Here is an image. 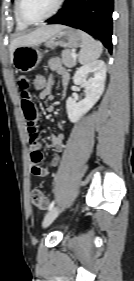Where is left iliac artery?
<instances>
[{
    "label": "left iliac artery",
    "mask_w": 134,
    "mask_h": 281,
    "mask_svg": "<svg viewBox=\"0 0 134 281\" xmlns=\"http://www.w3.org/2000/svg\"><path fill=\"white\" fill-rule=\"evenodd\" d=\"M55 201H52L48 207V211H51L54 208Z\"/></svg>",
    "instance_id": "left-iliac-artery-1"
}]
</instances>
